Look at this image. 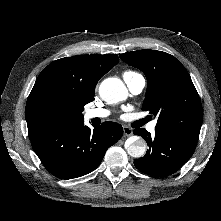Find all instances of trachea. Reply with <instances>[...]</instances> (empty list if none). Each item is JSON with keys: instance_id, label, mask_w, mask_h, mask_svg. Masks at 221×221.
<instances>
[{"instance_id": "1", "label": "trachea", "mask_w": 221, "mask_h": 221, "mask_svg": "<svg viewBox=\"0 0 221 221\" xmlns=\"http://www.w3.org/2000/svg\"><path fill=\"white\" fill-rule=\"evenodd\" d=\"M146 122H148V119H142L141 121H139V125L142 126L143 124H145Z\"/></svg>"}]
</instances>
